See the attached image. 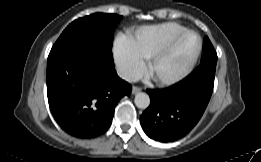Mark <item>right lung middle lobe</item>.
Instances as JSON below:
<instances>
[{
	"instance_id": "obj_1",
	"label": "right lung middle lobe",
	"mask_w": 261,
	"mask_h": 162,
	"mask_svg": "<svg viewBox=\"0 0 261 162\" xmlns=\"http://www.w3.org/2000/svg\"><path fill=\"white\" fill-rule=\"evenodd\" d=\"M122 19L116 14L94 13L73 21L60 35L55 46L79 41H96L112 46L115 27Z\"/></svg>"
}]
</instances>
